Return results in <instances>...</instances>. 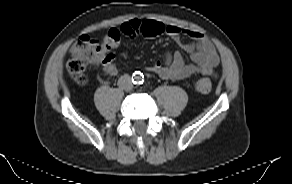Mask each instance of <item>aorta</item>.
Segmentation results:
<instances>
[{
	"label": "aorta",
	"mask_w": 292,
	"mask_h": 184,
	"mask_svg": "<svg viewBox=\"0 0 292 184\" xmlns=\"http://www.w3.org/2000/svg\"><path fill=\"white\" fill-rule=\"evenodd\" d=\"M134 79H135V82H140L141 76L140 75H135Z\"/></svg>",
	"instance_id": "1"
}]
</instances>
